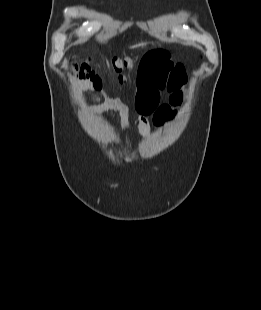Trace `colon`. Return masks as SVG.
<instances>
[{
	"mask_svg": "<svg viewBox=\"0 0 261 310\" xmlns=\"http://www.w3.org/2000/svg\"><path fill=\"white\" fill-rule=\"evenodd\" d=\"M135 60L126 58L114 59L111 63V68L115 72L119 83H124L127 79L126 71L133 68ZM73 72L81 81L90 82L97 90L102 89L104 79L99 72L98 66L90 59H84L73 63Z\"/></svg>",
	"mask_w": 261,
	"mask_h": 310,
	"instance_id": "5ec220e1",
	"label": "colon"
}]
</instances>
